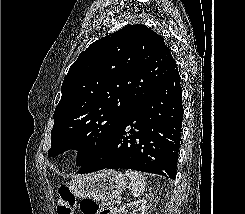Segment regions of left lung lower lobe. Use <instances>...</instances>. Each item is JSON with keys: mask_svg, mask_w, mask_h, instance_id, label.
<instances>
[{"mask_svg": "<svg viewBox=\"0 0 245 214\" xmlns=\"http://www.w3.org/2000/svg\"><path fill=\"white\" fill-rule=\"evenodd\" d=\"M182 118V91L176 68L142 100L112 138L84 162L78 173L123 168L175 179Z\"/></svg>", "mask_w": 245, "mask_h": 214, "instance_id": "left-lung-lower-lobe-1", "label": "left lung lower lobe"}]
</instances>
